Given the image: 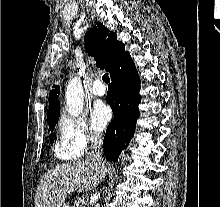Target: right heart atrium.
Segmentation results:
<instances>
[{"label":"right heart atrium","mask_w":220,"mask_h":207,"mask_svg":"<svg viewBox=\"0 0 220 207\" xmlns=\"http://www.w3.org/2000/svg\"><path fill=\"white\" fill-rule=\"evenodd\" d=\"M60 139L72 149L84 154L98 145L101 135L90 128L85 117L63 115L58 124Z\"/></svg>","instance_id":"1"}]
</instances>
